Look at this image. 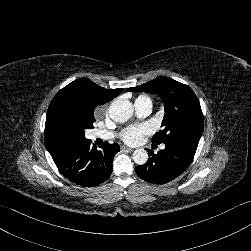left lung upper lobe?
Wrapping results in <instances>:
<instances>
[{"label":"left lung upper lobe","instance_id":"obj_1","mask_svg":"<svg viewBox=\"0 0 251 251\" xmlns=\"http://www.w3.org/2000/svg\"><path fill=\"white\" fill-rule=\"evenodd\" d=\"M128 90L158 94L164 101L165 115L161 125L163 129L153 136V143L166 144L174 140L199 143L204 128L203 114L200 103L189 86L159 76Z\"/></svg>","mask_w":251,"mask_h":251}]
</instances>
